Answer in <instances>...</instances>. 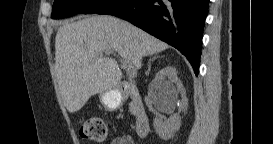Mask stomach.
Segmentation results:
<instances>
[{
	"label": "stomach",
	"instance_id": "1",
	"mask_svg": "<svg viewBox=\"0 0 273 144\" xmlns=\"http://www.w3.org/2000/svg\"><path fill=\"white\" fill-rule=\"evenodd\" d=\"M100 102L107 111H115L123 103L122 93L115 89L100 94Z\"/></svg>",
	"mask_w": 273,
	"mask_h": 144
}]
</instances>
